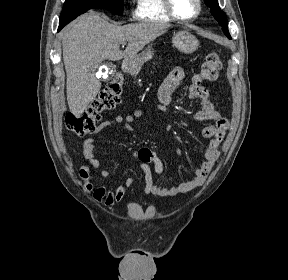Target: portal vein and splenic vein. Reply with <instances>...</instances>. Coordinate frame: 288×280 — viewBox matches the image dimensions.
Wrapping results in <instances>:
<instances>
[{"mask_svg":"<svg viewBox=\"0 0 288 280\" xmlns=\"http://www.w3.org/2000/svg\"><path fill=\"white\" fill-rule=\"evenodd\" d=\"M122 44H123V45H125V44H126V42H123Z\"/></svg>","mask_w":288,"mask_h":280,"instance_id":"obj_1","label":"portal vein and splenic vein"}]
</instances>
